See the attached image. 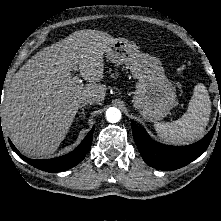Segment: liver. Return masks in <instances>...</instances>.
Returning a JSON list of instances; mask_svg holds the SVG:
<instances>
[{"label":"liver","instance_id":"obj_1","mask_svg":"<svg viewBox=\"0 0 221 221\" xmlns=\"http://www.w3.org/2000/svg\"><path fill=\"white\" fill-rule=\"evenodd\" d=\"M115 40L100 31H76L35 54L13 76L2 99V122L22 153L53 154L83 100H104L106 86L99 83L104 76L103 55ZM75 67L89 84L73 81Z\"/></svg>","mask_w":221,"mask_h":221}]
</instances>
